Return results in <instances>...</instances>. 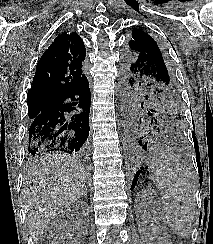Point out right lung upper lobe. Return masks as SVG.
I'll use <instances>...</instances> for the list:
<instances>
[{
    "instance_id": "right-lung-upper-lobe-1",
    "label": "right lung upper lobe",
    "mask_w": 213,
    "mask_h": 244,
    "mask_svg": "<svg viewBox=\"0 0 213 244\" xmlns=\"http://www.w3.org/2000/svg\"><path fill=\"white\" fill-rule=\"evenodd\" d=\"M86 49L81 37L69 29L61 32L41 56L27 98L58 96L73 90L85 75Z\"/></svg>"
}]
</instances>
